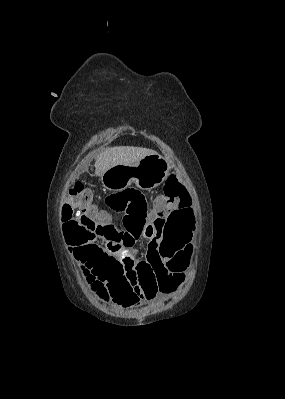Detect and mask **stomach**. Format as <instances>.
<instances>
[{"mask_svg":"<svg viewBox=\"0 0 285 399\" xmlns=\"http://www.w3.org/2000/svg\"><path fill=\"white\" fill-rule=\"evenodd\" d=\"M171 171L169 162L154 153L145 156L133 165H116L101 176L102 185L110 191H122L134 183L142 190H151L168 177Z\"/></svg>","mask_w":285,"mask_h":399,"instance_id":"0dacf381","label":"stomach"}]
</instances>
